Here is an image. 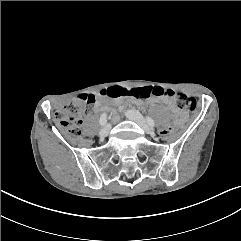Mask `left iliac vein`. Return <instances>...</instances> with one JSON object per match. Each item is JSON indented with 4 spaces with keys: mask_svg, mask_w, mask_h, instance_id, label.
<instances>
[{
    "mask_svg": "<svg viewBox=\"0 0 241 241\" xmlns=\"http://www.w3.org/2000/svg\"><path fill=\"white\" fill-rule=\"evenodd\" d=\"M126 116L130 120L137 123L144 130L145 133L150 134V135L154 133L153 128L150 125H148V123L146 122L144 117L138 111L128 110L126 112Z\"/></svg>",
    "mask_w": 241,
    "mask_h": 241,
    "instance_id": "obj_1",
    "label": "left iliac vein"
}]
</instances>
